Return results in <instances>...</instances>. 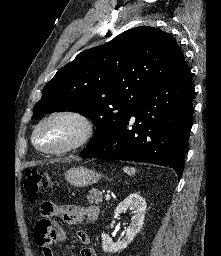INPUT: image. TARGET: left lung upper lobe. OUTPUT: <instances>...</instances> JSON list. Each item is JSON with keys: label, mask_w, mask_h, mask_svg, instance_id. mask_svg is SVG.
I'll return each mask as SVG.
<instances>
[{"label": "left lung upper lobe", "mask_w": 221, "mask_h": 256, "mask_svg": "<svg viewBox=\"0 0 221 256\" xmlns=\"http://www.w3.org/2000/svg\"><path fill=\"white\" fill-rule=\"evenodd\" d=\"M186 65L175 39L158 28L129 29L108 43L85 50L43 88L32 118L74 111L97 130L87 146L118 126L158 84Z\"/></svg>", "instance_id": "1"}]
</instances>
